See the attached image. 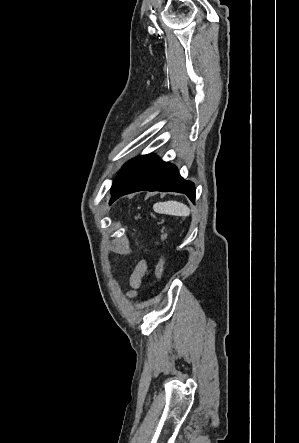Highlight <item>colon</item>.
Wrapping results in <instances>:
<instances>
[{
  "label": "colon",
  "mask_w": 299,
  "mask_h": 443,
  "mask_svg": "<svg viewBox=\"0 0 299 443\" xmlns=\"http://www.w3.org/2000/svg\"><path fill=\"white\" fill-rule=\"evenodd\" d=\"M161 255L158 261V264L156 266V276H157V280L160 281L162 279L165 267H166V243H167V238H168V230L167 228L163 227L161 230Z\"/></svg>",
  "instance_id": "5ec220e1"
}]
</instances>
